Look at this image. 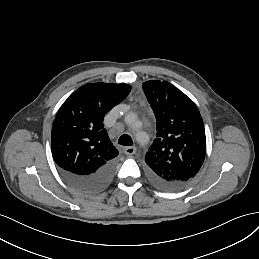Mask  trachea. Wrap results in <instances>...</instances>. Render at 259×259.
I'll use <instances>...</instances> for the list:
<instances>
[{
    "label": "trachea",
    "instance_id": "obj_1",
    "mask_svg": "<svg viewBox=\"0 0 259 259\" xmlns=\"http://www.w3.org/2000/svg\"><path fill=\"white\" fill-rule=\"evenodd\" d=\"M118 143L120 145H123V146H131V145H133L132 138L129 135H127V134L122 135L119 138Z\"/></svg>",
    "mask_w": 259,
    "mask_h": 259
}]
</instances>
